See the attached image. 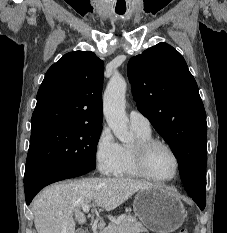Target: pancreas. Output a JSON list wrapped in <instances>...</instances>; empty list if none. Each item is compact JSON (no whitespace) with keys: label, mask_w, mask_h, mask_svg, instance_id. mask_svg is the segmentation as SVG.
<instances>
[{"label":"pancreas","mask_w":227,"mask_h":233,"mask_svg":"<svg viewBox=\"0 0 227 233\" xmlns=\"http://www.w3.org/2000/svg\"><path fill=\"white\" fill-rule=\"evenodd\" d=\"M108 231V233H143L146 228L137 220L136 216L127 215L119 224L111 223ZM99 233H107V231L103 230Z\"/></svg>","instance_id":"obj_1"}]
</instances>
